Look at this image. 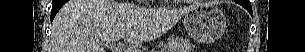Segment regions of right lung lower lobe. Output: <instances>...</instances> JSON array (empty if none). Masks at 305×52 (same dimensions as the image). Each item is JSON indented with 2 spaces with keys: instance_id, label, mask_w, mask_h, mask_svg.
<instances>
[{
  "instance_id": "98d812e1",
  "label": "right lung lower lobe",
  "mask_w": 305,
  "mask_h": 52,
  "mask_svg": "<svg viewBox=\"0 0 305 52\" xmlns=\"http://www.w3.org/2000/svg\"><path fill=\"white\" fill-rule=\"evenodd\" d=\"M67 0H53L52 1V11H51V21L54 19L55 15L59 9L66 3Z\"/></svg>"
}]
</instances>
